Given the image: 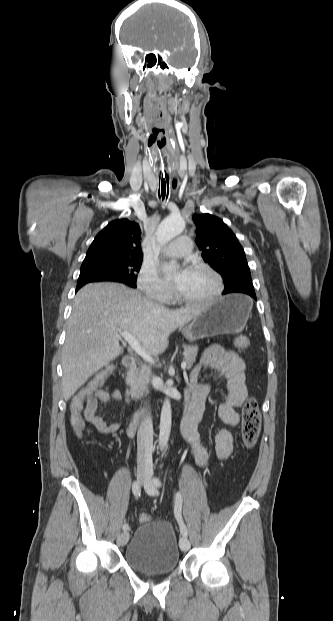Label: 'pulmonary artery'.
Here are the masks:
<instances>
[{
	"mask_svg": "<svg viewBox=\"0 0 333 621\" xmlns=\"http://www.w3.org/2000/svg\"><path fill=\"white\" fill-rule=\"evenodd\" d=\"M191 239L188 236H179L166 246L164 252L171 257H184L191 253Z\"/></svg>",
	"mask_w": 333,
	"mask_h": 621,
	"instance_id": "obj_1",
	"label": "pulmonary artery"
}]
</instances>
